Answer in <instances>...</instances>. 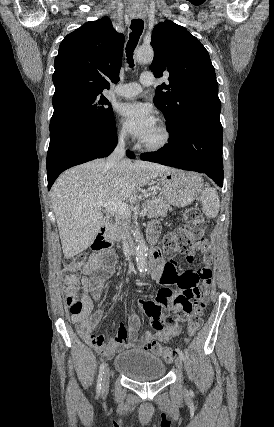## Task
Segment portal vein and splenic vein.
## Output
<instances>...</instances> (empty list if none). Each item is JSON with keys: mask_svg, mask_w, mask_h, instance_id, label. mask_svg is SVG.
<instances>
[{"mask_svg": "<svg viewBox=\"0 0 274 427\" xmlns=\"http://www.w3.org/2000/svg\"><path fill=\"white\" fill-rule=\"evenodd\" d=\"M96 206H99V208H106V210H110V212H115V214H131L127 204H124V202H112V200H102V202H96ZM147 212V208H144V210H142L140 214L141 217H143V215H146Z\"/></svg>", "mask_w": 274, "mask_h": 427, "instance_id": "18ae733b", "label": "portal vein and splenic vein"}]
</instances>
